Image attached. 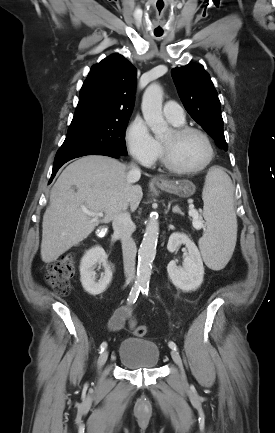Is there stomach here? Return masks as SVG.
I'll return each instance as SVG.
<instances>
[{"label":"stomach","mask_w":275,"mask_h":433,"mask_svg":"<svg viewBox=\"0 0 275 433\" xmlns=\"http://www.w3.org/2000/svg\"><path fill=\"white\" fill-rule=\"evenodd\" d=\"M159 189L182 198L191 197L195 191V185L189 180L171 181L168 184H157Z\"/></svg>","instance_id":"1"}]
</instances>
